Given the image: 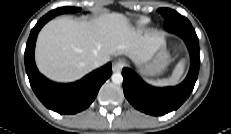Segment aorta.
Returning a JSON list of instances; mask_svg holds the SVG:
<instances>
[{
	"mask_svg": "<svg viewBox=\"0 0 231 134\" xmlns=\"http://www.w3.org/2000/svg\"><path fill=\"white\" fill-rule=\"evenodd\" d=\"M111 79H112V82L115 83V84H120L122 83L123 81V76L121 73H114L112 76H111Z\"/></svg>",
	"mask_w": 231,
	"mask_h": 134,
	"instance_id": "762f6f07",
	"label": "aorta"
}]
</instances>
